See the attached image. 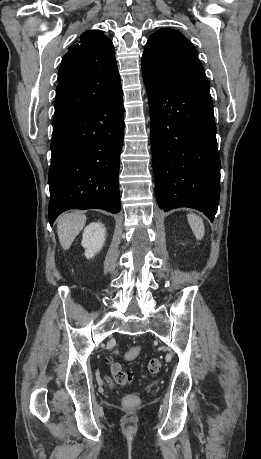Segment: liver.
Listing matches in <instances>:
<instances>
[{
    "label": "liver",
    "instance_id": "1",
    "mask_svg": "<svg viewBox=\"0 0 261 459\" xmlns=\"http://www.w3.org/2000/svg\"><path fill=\"white\" fill-rule=\"evenodd\" d=\"M86 223V216L80 213H69L60 217L57 224L59 242L64 250H68L76 236Z\"/></svg>",
    "mask_w": 261,
    "mask_h": 459
}]
</instances>
